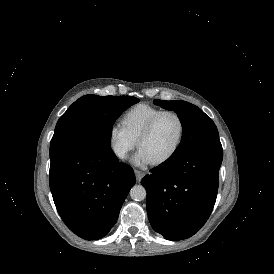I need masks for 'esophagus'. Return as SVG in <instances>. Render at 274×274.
<instances>
[{
  "label": "esophagus",
  "mask_w": 274,
  "mask_h": 274,
  "mask_svg": "<svg viewBox=\"0 0 274 274\" xmlns=\"http://www.w3.org/2000/svg\"><path fill=\"white\" fill-rule=\"evenodd\" d=\"M134 172H135L136 179L138 181H140L145 175V173L143 171H140V170H135Z\"/></svg>",
  "instance_id": "34e87169"
}]
</instances>
